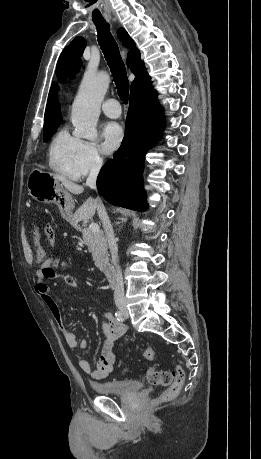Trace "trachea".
I'll return each instance as SVG.
<instances>
[{
	"label": "trachea",
	"mask_w": 261,
	"mask_h": 459,
	"mask_svg": "<svg viewBox=\"0 0 261 459\" xmlns=\"http://www.w3.org/2000/svg\"><path fill=\"white\" fill-rule=\"evenodd\" d=\"M98 31V42L111 70L118 95L124 102H128L129 80L127 77L124 62L114 37L110 32V25L105 20H93Z\"/></svg>",
	"instance_id": "3493384b"
}]
</instances>
